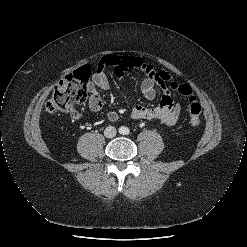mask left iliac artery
<instances>
[{"mask_svg": "<svg viewBox=\"0 0 247 247\" xmlns=\"http://www.w3.org/2000/svg\"><path fill=\"white\" fill-rule=\"evenodd\" d=\"M126 134H129V130H126Z\"/></svg>", "mask_w": 247, "mask_h": 247, "instance_id": "obj_1", "label": "left iliac artery"}]
</instances>
